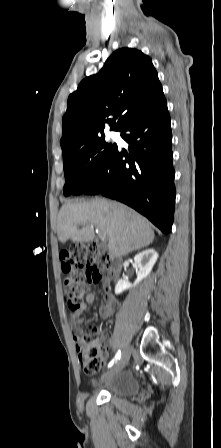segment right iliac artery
Masks as SVG:
<instances>
[{
	"instance_id": "right-iliac-artery-1",
	"label": "right iliac artery",
	"mask_w": 221,
	"mask_h": 448,
	"mask_svg": "<svg viewBox=\"0 0 221 448\" xmlns=\"http://www.w3.org/2000/svg\"><path fill=\"white\" fill-rule=\"evenodd\" d=\"M120 357H121V351L119 350L116 353V355H115L114 359L112 360V362L109 364V366H112L114 363H116L120 359Z\"/></svg>"
}]
</instances>
